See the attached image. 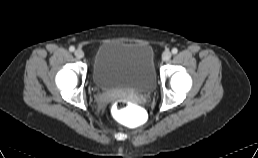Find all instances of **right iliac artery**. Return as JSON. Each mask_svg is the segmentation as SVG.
Instances as JSON below:
<instances>
[{
	"instance_id": "obj_1",
	"label": "right iliac artery",
	"mask_w": 258,
	"mask_h": 158,
	"mask_svg": "<svg viewBox=\"0 0 258 158\" xmlns=\"http://www.w3.org/2000/svg\"><path fill=\"white\" fill-rule=\"evenodd\" d=\"M75 50V47L74 46H70L69 47V51L73 52Z\"/></svg>"
}]
</instances>
